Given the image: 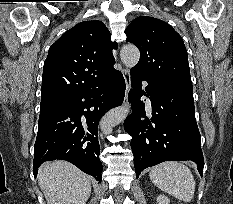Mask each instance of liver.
Instances as JSON below:
<instances>
[{
    "instance_id": "obj_1",
    "label": "liver",
    "mask_w": 233,
    "mask_h": 204,
    "mask_svg": "<svg viewBox=\"0 0 233 204\" xmlns=\"http://www.w3.org/2000/svg\"><path fill=\"white\" fill-rule=\"evenodd\" d=\"M38 184L47 204H86L91 193L88 176L62 160L41 165Z\"/></svg>"
}]
</instances>
